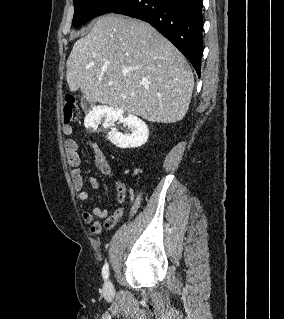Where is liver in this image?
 I'll return each mask as SVG.
<instances>
[{
	"mask_svg": "<svg viewBox=\"0 0 284 319\" xmlns=\"http://www.w3.org/2000/svg\"><path fill=\"white\" fill-rule=\"evenodd\" d=\"M66 67L70 91L151 122L182 120L194 87L180 51L148 23L122 15L98 18Z\"/></svg>",
	"mask_w": 284,
	"mask_h": 319,
	"instance_id": "1",
	"label": "liver"
}]
</instances>
